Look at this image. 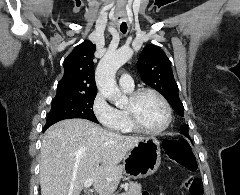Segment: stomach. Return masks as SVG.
Wrapping results in <instances>:
<instances>
[{"label": "stomach", "instance_id": "stomach-1", "mask_svg": "<svg viewBox=\"0 0 240 195\" xmlns=\"http://www.w3.org/2000/svg\"><path fill=\"white\" fill-rule=\"evenodd\" d=\"M161 163V149L157 137L149 135L128 151L123 161V173L133 179L147 177L157 171Z\"/></svg>", "mask_w": 240, "mask_h": 195}]
</instances>
